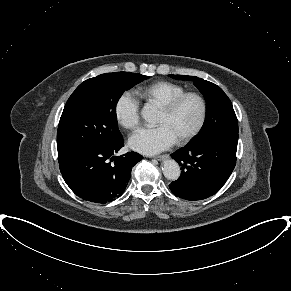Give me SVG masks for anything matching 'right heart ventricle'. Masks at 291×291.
I'll use <instances>...</instances> for the list:
<instances>
[{
	"label": "right heart ventricle",
	"mask_w": 291,
	"mask_h": 291,
	"mask_svg": "<svg viewBox=\"0 0 291 291\" xmlns=\"http://www.w3.org/2000/svg\"><path fill=\"white\" fill-rule=\"evenodd\" d=\"M185 92L183 86L170 81H157L138 89L137 94L149 103L162 107Z\"/></svg>",
	"instance_id": "right-heart-ventricle-1"
}]
</instances>
